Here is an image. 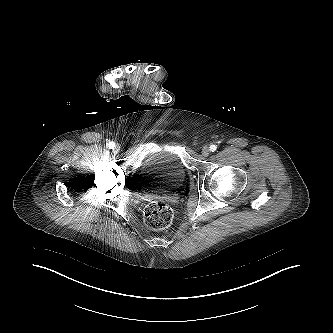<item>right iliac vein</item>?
<instances>
[{"label":"right iliac vein","mask_w":333,"mask_h":333,"mask_svg":"<svg viewBox=\"0 0 333 333\" xmlns=\"http://www.w3.org/2000/svg\"><path fill=\"white\" fill-rule=\"evenodd\" d=\"M114 151H116V152L120 151V146L119 145H115Z\"/></svg>","instance_id":"right-iliac-vein-1"}]
</instances>
